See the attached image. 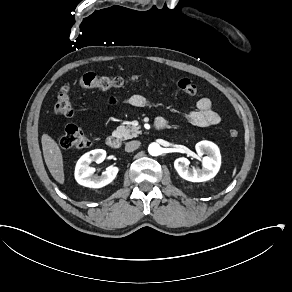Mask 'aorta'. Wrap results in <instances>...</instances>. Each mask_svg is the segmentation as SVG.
Masks as SVG:
<instances>
[{
	"instance_id": "aorta-1",
	"label": "aorta",
	"mask_w": 292,
	"mask_h": 292,
	"mask_svg": "<svg viewBox=\"0 0 292 292\" xmlns=\"http://www.w3.org/2000/svg\"><path fill=\"white\" fill-rule=\"evenodd\" d=\"M149 154L152 156H158L161 153V147L158 143H151L148 147Z\"/></svg>"
}]
</instances>
